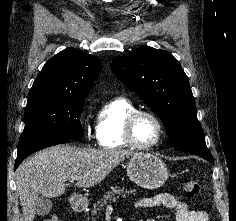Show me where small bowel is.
I'll return each mask as SVG.
<instances>
[{
	"label": "small bowel",
	"instance_id": "obj_1",
	"mask_svg": "<svg viewBox=\"0 0 236 221\" xmlns=\"http://www.w3.org/2000/svg\"><path fill=\"white\" fill-rule=\"evenodd\" d=\"M154 207H166L175 210L176 221H208L209 216L206 211L200 209H190L188 205L175 196L162 193L153 197L139 198L135 202L137 210Z\"/></svg>",
	"mask_w": 236,
	"mask_h": 221
}]
</instances>
